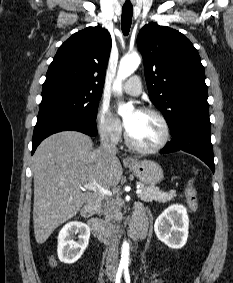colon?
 <instances>
[{"mask_svg":"<svg viewBox=\"0 0 233 283\" xmlns=\"http://www.w3.org/2000/svg\"><path fill=\"white\" fill-rule=\"evenodd\" d=\"M185 196L188 203L189 208L192 211L197 210L198 208V197L197 190L192 182H188L185 186Z\"/></svg>","mask_w":233,"mask_h":283,"instance_id":"1","label":"colon"}]
</instances>
